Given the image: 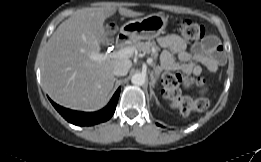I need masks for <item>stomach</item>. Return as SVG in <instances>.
<instances>
[{
  "instance_id": "obj_1",
  "label": "stomach",
  "mask_w": 261,
  "mask_h": 162,
  "mask_svg": "<svg viewBox=\"0 0 261 162\" xmlns=\"http://www.w3.org/2000/svg\"><path fill=\"white\" fill-rule=\"evenodd\" d=\"M167 26V18L161 14H151L144 18L130 20L120 32L132 41L148 40L159 36Z\"/></svg>"
}]
</instances>
